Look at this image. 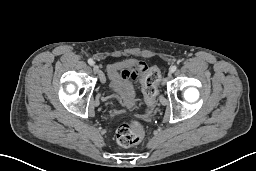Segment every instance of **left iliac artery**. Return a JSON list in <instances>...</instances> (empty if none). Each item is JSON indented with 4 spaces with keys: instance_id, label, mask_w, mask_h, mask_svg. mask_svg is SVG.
Listing matches in <instances>:
<instances>
[{
    "instance_id": "44dca946",
    "label": "left iliac artery",
    "mask_w": 256,
    "mask_h": 171,
    "mask_svg": "<svg viewBox=\"0 0 256 171\" xmlns=\"http://www.w3.org/2000/svg\"><path fill=\"white\" fill-rule=\"evenodd\" d=\"M176 69H177V66H176V65H174V66L171 67V71H172V72L176 71Z\"/></svg>"
}]
</instances>
